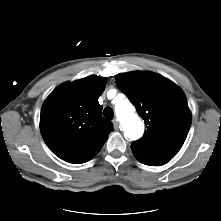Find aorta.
<instances>
[{
	"label": "aorta",
	"mask_w": 221,
	"mask_h": 221,
	"mask_svg": "<svg viewBox=\"0 0 221 221\" xmlns=\"http://www.w3.org/2000/svg\"><path fill=\"white\" fill-rule=\"evenodd\" d=\"M117 119L124 134L131 140L139 139L144 132V124L134 112V106L128 100H122L115 106Z\"/></svg>",
	"instance_id": "aorta-1"
}]
</instances>
